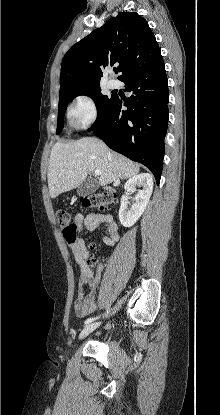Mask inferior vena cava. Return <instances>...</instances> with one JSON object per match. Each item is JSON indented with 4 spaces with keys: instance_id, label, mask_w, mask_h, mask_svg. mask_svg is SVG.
<instances>
[{
    "instance_id": "1",
    "label": "inferior vena cava",
    "mask_w": 220,
    "mask_h": 415,
    "mask_svg": "<svg viewBox=\"0 0 220 415\" xmlns=\"http://www.w3.org/2000/svg\"><path fill=\"white\" fill-rule=\"evenodd\" d=\"M118 183H119V180H116V181H115V184H118Z\"/></svg>"
}]
</instances>
